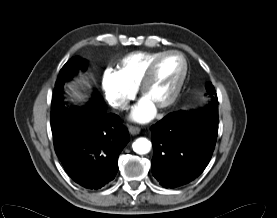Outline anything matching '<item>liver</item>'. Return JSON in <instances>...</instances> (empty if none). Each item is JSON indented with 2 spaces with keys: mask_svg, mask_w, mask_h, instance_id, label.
<instances>
[{
  "mask_svg": "<svg viewBox=\"0 0 277 218\" xmlns=\"http://www.w3.org/2000/svg\"><path fill=\"white\" fill-rule=\"evenodd\" d=\"M71 89V96L74 98L76 101H83L85 99V95L82 94L81 92L77 91L74 88Z\"/></svg>",
  "mask_w": 277,
  "mask_h": 218,
  "instance_id": "obj_1",
  "label": "liver"
}]
</instances>
